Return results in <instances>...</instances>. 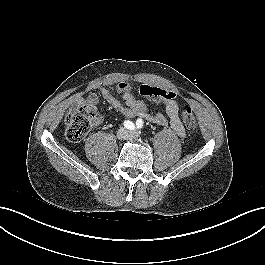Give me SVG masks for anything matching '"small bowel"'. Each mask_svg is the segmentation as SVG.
Masks as SVG:
<instances>
[{
  "mask_svg": "<svg viewBox=\"0 0 265 265\" xmlns=\"http://www.w3.org/2000/svg\"><path fill=\"white\" fill-rule=\"evenodd\" d=\"M167 91L174 94V97L162 101L165 106V114L150 112L145 103L133 95L128 83H120L115 93L106 88H102L99 94L92 93L85 100L80 99L79 102L85 101L96 105L99 102V97H102L128 118H140L161 126H165L169 123L178 136L185 137L186 131L179 118V107L176 101V94L172 91ZM118 96H121L122 101Z\"/></svg>",
  "mask_w": 265,
  "mask_h": 265,
  "instance_id": "1",
  "label": "small bowel"
}]
</instances>
